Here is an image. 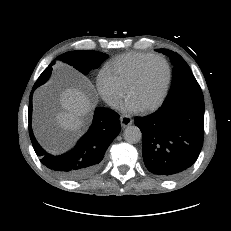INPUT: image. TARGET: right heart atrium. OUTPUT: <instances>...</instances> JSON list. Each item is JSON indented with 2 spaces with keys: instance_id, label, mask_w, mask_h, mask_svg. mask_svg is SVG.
<instances>
[{
  "instance_id": "right-heart-atrium-1",
  "label": "right heart atrium",
  "mask_w": 231,
  "mask_h": 231,
  "mask_svg": "<svg viewBox=\"0 0 231 231\" xmlns=\"http://www.w3.org/2000/svg\"><path fill=\"white\" fill-rule=\"evenodd\" d=\"M97 87L103 100L111 107H117L126 94V90L104 70L97 77Z\"/></svg>"
}]
</instances>
